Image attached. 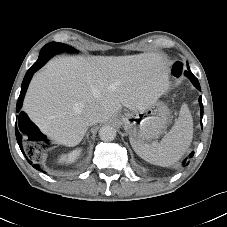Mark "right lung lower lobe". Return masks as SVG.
I'll return each mask as SVG.
<instances>
[{"label":"right lung lower lobe","mask_w":227,"mask_h":227,"mask_svg":"<svg viewBox=\"0 0 227 227\" xmlns=\"http://www.w3.org/2000/svg\"><path fill=\"white\" fill-rule=\"evenodd\" d=\"M55 53L56 52L51 51V50L42 49L41 52H40L38 60L27 71V73L24 77V80L22 82L20 96H19L18 101H17L18 112H19L20 108L22 107V102H23L26 90L28 88L29 82H30L33 74L38 69H40ZM32 127H34L35 129H37L39 131V129L29 120L27 115L24 112H20L19 116H18V125L15 127V132H16L17 142L19 144V147H20L22 153H24V152H23L22 143H21V139H22L21 133H25L27 135H30V129ZM28 162L30 164H32L31 161L28 160ZM33 167L36 168V169H39L38 165H36V164L33 165Z\"/></svg>","instance_id":"1"}]
</instances>
